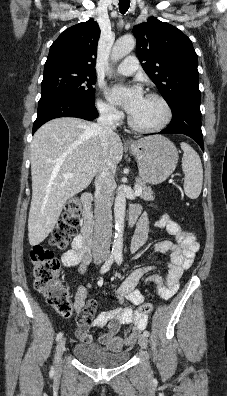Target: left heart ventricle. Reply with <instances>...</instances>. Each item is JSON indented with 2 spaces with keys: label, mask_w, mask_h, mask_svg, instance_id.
I'll list each match as a JSON object with an SVG mask.
<instances>
[{
  "label": "left heart ventricle",
  "mask_w": 227,
  "mask_h": 396,
  "mask_svg": "<svg viewBox=\"0 0 227 396\" xmlns=\"http://www.w3.org/2000/svg\"><path fill=\"white\" fill-rule=\"evenodd\" d=\"M131 116L141 126H154L162 121L164 110L155 99L144 97L142 103Z\"/></svg>",
  "instance_id": "obj_1"
}]
</instances>
